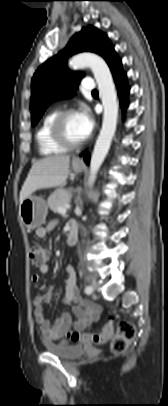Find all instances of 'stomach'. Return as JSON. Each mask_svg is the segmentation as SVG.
Instances as JSON below:
<instances>
[{
	"instance_id": "stomach-1",
	"label": "stomach",
	"mask_w": 168,
	"mask_h": 406,
	"mask_svg": "<svg viewBox=\"0 0 168 406\" xmlns=\"http://www.w3.org/2000/svg\"><path fill=\"white\" fill-rule=\"evenodd\" d=\"M84 167V164L72 162V168L76 173L82 172ZM47 212L48 207L46 202L42 198L32 195L23 200L19 206L21 221L29 229L40 227L45 222Z\"/></svg>"
}]
</instances>
